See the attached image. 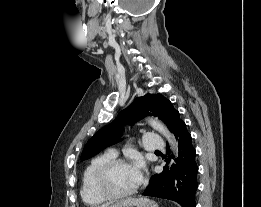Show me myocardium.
<instances>
[{
	"instance_id": "f54148a6",
	"label": "myocardium",
	"mask_w": 261,
	"mask_h": 207,
	"mask_svg": "<svg viewBox=\"0 0 261 207\" xmlns=\"http://www.w3.org/2000/svg\"><path fill=\"white\" fill-rule=\"evenodd\" d=\"M121 165H130V163L126 159L121 158H114L107 163H105L101 168L98 170L95 178V185L98 192L105 197L106 199H121L134 194L138 187L139 182L130 190L125 192H115L109 186V176L112 170Z\"/></svg>"
}]
</instances>
